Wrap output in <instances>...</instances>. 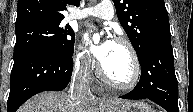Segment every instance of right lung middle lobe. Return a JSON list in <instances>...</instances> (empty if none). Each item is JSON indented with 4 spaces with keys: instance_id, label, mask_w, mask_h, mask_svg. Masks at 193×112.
Listing matches in <instances>:
<instances>
[{
    "instance_id": "obj_1",
    "label": "right lung middle lobe",
    "mask_w": 193,
    "mask_h": 112,
    "mask_svg": "<svg viewBox=\"0 0 193 112\" xmlns=\"http://www.w3.org/2000/svg\"><path fill=\"white\" fill-rule=\"evenodd\" d=\"M74 38L72 28L68 25L63 28L60 23H41L17 29L14 58L41 47H51L61 54L72 56Z\"/></svg>"
}]
</instances>
